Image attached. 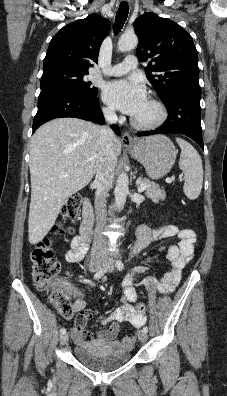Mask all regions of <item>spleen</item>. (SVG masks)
I'll return each instance as SVG.
<instances>
[{"mask_svg": "<svg viewBox=\"0 0 227 396\" xmlns=\"http://www.w3.org/2000/svg\"><path fill=\"white\" fill-rule=\"evenodd\" d=\"M176 142L181 148L179 168L183 171L185 177L183 190L189 199L194 200L199 196L202 189V160L190 143L181 138H176Z\"/></svg>", "mask_w": 227, "mask_h": 396, "instance_id": "spleen-1", "label": "spleen"}]
</instances>
